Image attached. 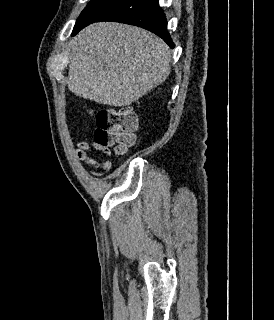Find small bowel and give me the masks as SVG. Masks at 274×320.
<instances>
[{"instance_id":"obj_1","label":"small bowel","mask_w":274,"mask_h":320,"mask_svg":"<svg viewBox=\"0 0 274 320\" xmlns=\"http://www.w3.org/2000/svg\"><path fill=\"white\" fill-rule=\"evenodd\" d=\"M98 140H90V142L82 141L78 144V148L76 150V157L78 160L86 162L87 164L93 166L94 168H100L103 172L97 173L93 170H90V173L94 176H100L104 173H107L111 170L112 164L109 161L99 162L93 157L89 156L88 152H91L93 149L98 147ZM100 153H111V146H100L98 148ZM103 157H106V154H103Z\"/></svg>"}]
</instances>
